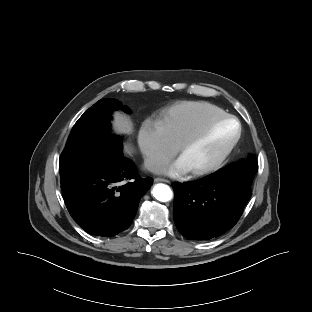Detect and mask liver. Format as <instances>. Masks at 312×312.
Here are the masks:
<instances>
[{
  "mask_svg": "<svg viewBox=\"0 0 312 312\" xmlns=\"http://www.w3.org/2000/svg\"><path fill=\"white\" fill-rule=\"evenodd\" d=\"M113 128L115 132L121 134H130L132 132V122L128 117L120 112L114 113ZM124 150L127 154H132L133 149L130 145H125Z\"/></svg>",
  "mask_w": 312,
  "mask_h": 312,
  "instance_id": "obj_1",
  "label": "liver"
}]
</instances>
